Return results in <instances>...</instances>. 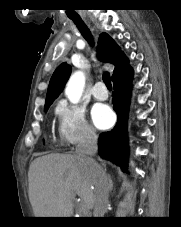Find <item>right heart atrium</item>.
<instances>
[{"label": "right heart atrium", "instance_id": "1", "mask_svg": "<svg viewBox=\"0 0 181 227\" xmlns=\"http://www.w3.org/2000/svg\"><path fill=\"white\" fill-rule=\"evenodd\" d=\"M56 114L59 136L65 144L78 145L96 140V132L87 121L82 107L61 100L56 106Z\"/></svg>", "mask_w": 181, "mask_h": 227}]
</instances>
